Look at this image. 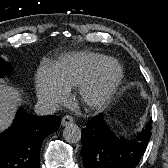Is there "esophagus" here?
I'll return each mask as SVG.
<instances>
[{
	"label": "esophagus",
	"instance_id": "obj_1",
	"mask_svg": "<svg viewBox=\"0 0 168 168\" xmlns=\"http://www.w3.org/2000/svg\"><path fill=\"white\" fill-rule=\"evenodd\" d=\"M74 122L73 120V117L70 116V115H65L63 118H62V121H61V125L62 126H67L69 124H72Z\"/></svg>",
	"mask_w": 168,
	"mask_h": 168
}]
</instances>
